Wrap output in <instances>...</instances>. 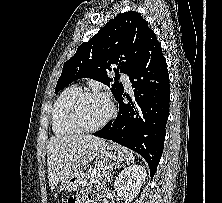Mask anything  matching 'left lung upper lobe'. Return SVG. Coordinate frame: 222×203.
Segmentation results:
<instances>
[{
  "label": "left lung upper lobe",
  "instance_id": "5c2ea615",
  "mask_svg": "<svg viewBox=\"0 0 222 203\" xmlns=\"http://www.w3.org/2000/svg\"><path fill=\"white\" fill-rule=\"evenodd\" d=\"M150 32L147 22L135 11L111 19L64 64L55 93L79 78H92L111 87L117 99L124 88L119 82L110 85L108 72L120 70L129 75L144 52Z\"/></svg>",
  "mask_w": 222,
  "mask_h": 203
}]
</instances>
